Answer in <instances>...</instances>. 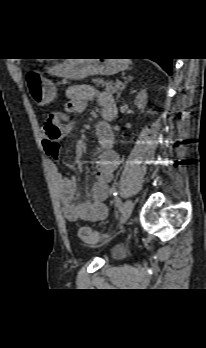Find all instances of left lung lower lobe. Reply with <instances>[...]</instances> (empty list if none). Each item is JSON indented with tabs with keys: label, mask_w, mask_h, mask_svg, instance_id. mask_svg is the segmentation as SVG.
Segmentation results:
<instances>
[{
	"label": "left lung lower lobe",
	"mask_w": 206,
	"mask_h": 348,
	"mask_svg": "<svg viewBox=\"0 0 206 348\" xmlns=\"http://www.w3.org/2000/svg\"><path fill=\"white\" fill-rule=\"evenodd\" d=\"M153 60L157 62L169 75H171L172 58H159Z\"/></svg>",
	"instance_id": "obj_1"
}]
</instances>
